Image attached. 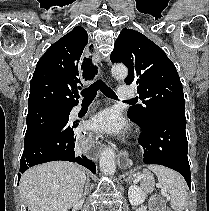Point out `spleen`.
I'll return each instance as SVG.
<instances>
[{
  "instance_id": "spleen-1",
  "label": "spleen",
  "mask_w": 209,
  "mask_h": 211,
  "mask_svg": "<svg viewBox=\"0 0 209 211\" xmlns=\"http://www.w3.org/2000/svg\"><path fill=\"white\" fill-rule=\"evenodd\" d=\"M148 169L157 176L159 184L169 195L170 206L174 211H183L186 208L187 186L183 177L164 166L151 165Z\"/></svg>"
}]
</instances>
